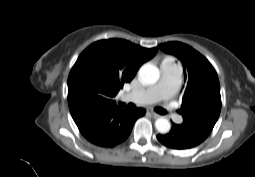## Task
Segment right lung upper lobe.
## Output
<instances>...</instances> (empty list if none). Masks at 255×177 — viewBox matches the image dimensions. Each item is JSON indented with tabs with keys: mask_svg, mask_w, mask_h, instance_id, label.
Segmentation results:
<instances>
[{
	"mask_svg": "<svg viewBox=\"0 0 255 177\" xmlns=\"http://www.w3.org/2000/svg\"><path fill=\"white\" fill-rule=\"evenodd\" d=\"M156 52L157 48H143L122 39L100 40L87 47L68 78V103L73 119L116 106L119 90ZM88 67L98 75H87Z\"/></svg>",
	"mask_w": 255,
	"mask_h": 177,
	"instance_id": "cb5924a9",
	"label": "right lung upper lobe"
}]
</instances>
